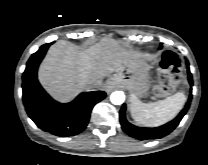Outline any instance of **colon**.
Instances as JSON below:
<instances>
[{"mask_svg": "<svg viewBox=\"0 0 208 165\" xmlns=\"http://www.w3.org/2000/svg\"><path fill=\"white\" fill-rule=\"evenodd\" d=\"M181 79V63L179 57L172 51H166L159 64V74L154 87L157 96L171 92Z\"/></svg>", "mask_w": 208, "mask_h": 165, "instance_id": "1", "label": "colon"}]
</instances>
